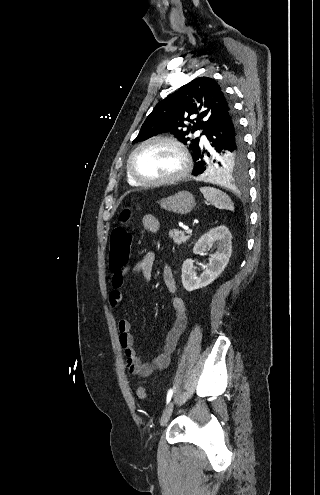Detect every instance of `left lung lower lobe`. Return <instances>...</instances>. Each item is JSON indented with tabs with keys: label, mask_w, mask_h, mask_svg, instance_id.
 <instances>
[{
	"label": "left lung lower lobe",
	"mask_w": 320,
	"mask_h": 495,
	"mask_svg": "<svg viewBox=\"0 0 320 495\" xmlns=\"http://www.w3.org/2000/svg\"><path fill=\"white\" fill-rule=\"evenodd\" d=\"M238 120L231 109L228 113H224L218 118L209 132L206 134L210 145L215 147L228 146L234 148L236 145V138L238 132ZM205 149L197 151L192 157L195 162V168L193 169V175L198 176L201 174H208V166L203 161Z\"/></svg>",
	"instance_id": "0a47b994"
}]
</instances>
